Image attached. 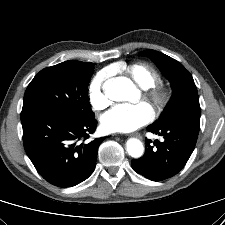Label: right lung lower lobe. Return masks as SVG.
Here are the masks:
<instances>
[{"mask_svg":"<svg viewBox=\"0 0 225 225\" xmlns=\"http://www.w3.org/2000/svg\"><path fill=\"white\" fill-rule=\"evenodd\" d=\"M25 151L38 173L58 187H72L94 171L104 138L86 141L97 126L95 118L80 120L66 112L30 107L22 109Z\"/></svg>","mask_w":225,"mask_h":225,"instance_id":"98d812e1","label":"right lung lower lobe"}]
</instances>
